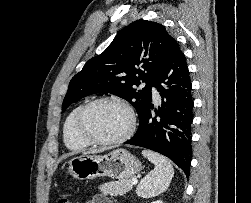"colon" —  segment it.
<instances>
[{
	"label": "colon",
	"instance_id": "obj_1",
	"mask_svg": "<svg viewBox=\"0 0 251 203\" xmlns=\"http://www.w3.org/2000/svg\"><path fill=\"white\" fill-rule=\"evenodd\" d=\"M55 203H72V202L68 199V197L61 195L56 199Z\"/></svg>",
	"mask_w": 251,
	"mask_h": 203
}]
</instances>
